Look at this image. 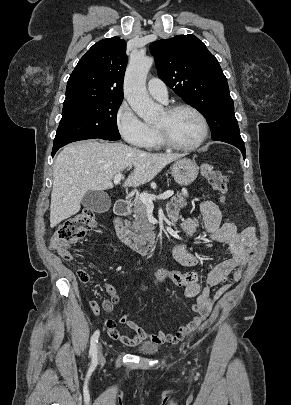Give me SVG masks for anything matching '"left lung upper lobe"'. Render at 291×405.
Instances as JSON below:
<instances>
[{
  "label": "left lung upper lobe",
  "instance_id": "obj_1",
  "mask_svg": "<svg viewBox=\"0 0 291 405\" xmlns=\"http://www.w3.org/2000/svg\"><path fill=\"white\" fill-rule=\"evenodd\" d=\"M158 76L207 119L213 140L243 141L227 79L217 59L194 35H177L150 45Z\"/></svg>",
  "mask_w": 291,
  "mask_h": 405
}]
</instances>
